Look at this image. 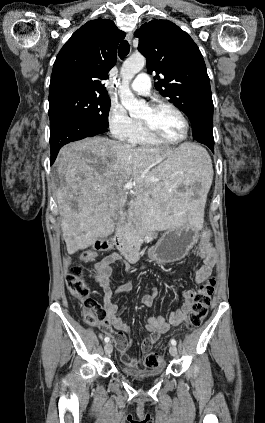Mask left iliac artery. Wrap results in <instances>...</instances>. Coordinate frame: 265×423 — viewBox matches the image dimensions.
Returning a JSON list of instances; mask_svg holds the SVG:
<instances>
[{"instance_id": "1", "label": "left iliac artery", "mask_w": 265, "mask_h": 423, "mask_svg": "<svg viewBox=\"0 0 265 423\" xmlns=\"http://www.w3.org/2000/svg\"><path fill=\"white\" fill-rule=\"evenodd\" d=\"M171 344L175 346L177 344L176 340L175 339H171Z\"/></svg>"}]
</instances>
